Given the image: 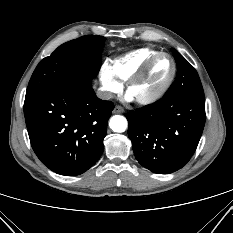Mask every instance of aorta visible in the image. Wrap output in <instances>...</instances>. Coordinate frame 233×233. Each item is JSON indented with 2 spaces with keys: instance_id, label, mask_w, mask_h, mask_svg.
<instances>
[{
  "instance_id": "762f6f07",
  "label": "aorta",
  "mask_w": 233,
  "mask_h": 233,
  "mask_svg": "<svg viewBox=\"0 0 233 233\" xmlns=\"http://www.w3.org/2000/svg\"><path fill=\"white\" fill-rule=\"evenodd\" d=\"M127 120L124 116L115 115L110 119L109 126L114 132H124L127 128Z\"/></svg>"
}]
</instances>
